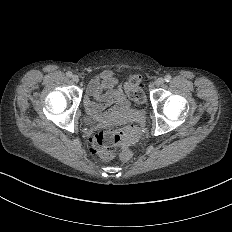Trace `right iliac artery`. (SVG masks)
Returning <instances> with one entry per match:
<instances>
[{
	"mask_svg": "<svg viewBox=\"0 0 232 232\" xmlns=\"http://www.w3.org/2000/svg\"><path fill=\"white\" fill-rule=\"evenodd\" d=\"M66 75H67L68 77H71V76H72V72H71V71H68V72L66 73Z\"/></svg>",
	"mask_w": 232,
	"mask_h": 232,
	"instance_id": "right-iliac-artery-1",
	"label": "right iliac artery"
}]
</instances>
